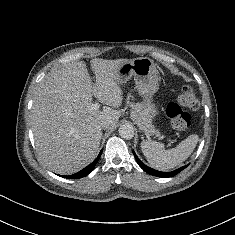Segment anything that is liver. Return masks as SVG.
Here are the masks:
<instances>
[{
  "label": "liver",
  "instance_id": "6515ba94",
  "mask_svg": "<svg viewBox=\"0 0 235 235\" xmlns=\"http://www.w3.org/2000/svg\"><path fill=\"white\" fill-rule=\"evenodd\" d=\"M127 59H92V85L86 63L64 65L38 84L31 110L34 140L43 162L58 174L75 173L91 163L108 122L114 128L121 115L123 93L117 71ZM93 96L105 104L92 110Z\"/></svg>",
  "mask_w": 235,
  "mask_h": 235
}]
</instances>
